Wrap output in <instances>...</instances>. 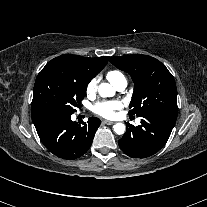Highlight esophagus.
Listing matches in <instances>:
<instances>
[{
  "label": "esophagus",
  "instance_id": "esophagus-1",
  "mask_svg": "<svg viewBox=\"0 0 207 207\" xmlns=\"http://www.w3.org/2000/svg\"><path fill=\"white\" fill-rule=\"evenodd\" d=\"M102 122H103L104 124H106V125H112V124H114L113 121H109V120H103Z\"/></svg>",
  "mask_w": 207,
  "mask_h": 207
}]
</instances>
